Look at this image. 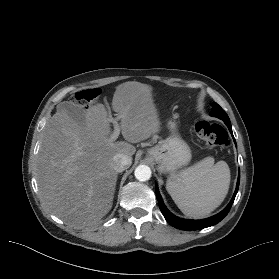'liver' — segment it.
<instances>
[{
	"label": "liver",
	"mask_w": 279,
	"mask_h": 279,
	"mask_svg": "<svg viewBox=\"0 0 279 279\" xmlns=\"http://www.w3.org/2000/svg\"><path fill=\"white\" fill-rule=\"evenodd\" d=\"M147 84L128 81L116 87L112 109L125 141H110V122L103 104L84 110L82 124L65 107L57 106L47 122L36 162V179L43 204L74 229L96 226L113 204L118 153L132 157V145L159 132L160 120ZM132 143V144H131Z\"/></svg>",
	"instance_id": "obj_1"
}]
</instances>
